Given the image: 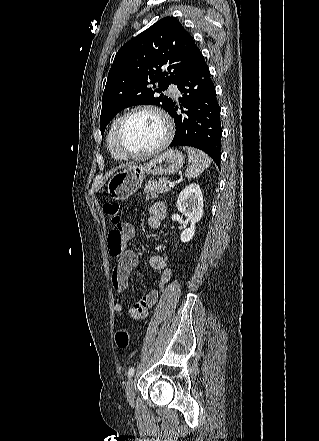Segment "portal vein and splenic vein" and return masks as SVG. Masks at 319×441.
I'll list each match as a JSON object with an SVG mask.
<instances>
[{
	"label": "portal vein and splenic vein",
	"mask_w": 319,
	"mask_h": 441,
	"mask_svg": "<svg viewBox=\"0 0 319 441\" xmlns=\"http://www.w3.org/2000/svg\"><path fill=\"white\" fill-rule=\"evenodd\" d=\"M175 183L174 182H169V187H174Z\"/></svg>",
	"instance_id": "1"
}]
</instances>
